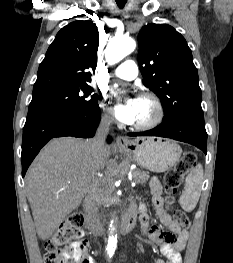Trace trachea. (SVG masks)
I'll return each mask as SVG.
<instances>
[{
	"label": "trachea",
	"mask_w": 233,
	"mask_h": 263,
	"mask_svg": "<svg viewBox=\"0 0 233 263\" xmlns=\"http://www.w3.org/2000/svg\"><path fill=\"white\" fill-rule=\"evenodd\" d=\"M127 0H116V3L119 8H123L126 4Z\"/></svg>",
	"instance_id": "trachea-1"
}]
</instances>
